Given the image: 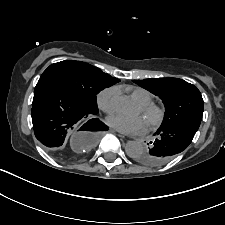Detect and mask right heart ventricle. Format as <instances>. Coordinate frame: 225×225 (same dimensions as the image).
<instances>
[{"mask_svg":"<svg viewBox=\"0 0 225 225\" xmlns=\"http://www.w3.org/2000/svg\"><path fill=\"white\" fill-rule=\"evenodd\" d=\"M131 96L137 101L139 105H146L153 102L152 94L143 88H134L131 90Z\"/></svg>","mask_w":225,"mask_h":225,"instance_id":"obj_1","label":"right heart ventricle"}]
</instances>
